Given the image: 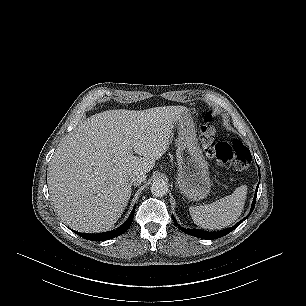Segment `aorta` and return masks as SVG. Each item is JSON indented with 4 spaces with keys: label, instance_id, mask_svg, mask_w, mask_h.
Here are the masks:
<instances>
[{
    "label": "aorta",
    "instance_id": "obj_1",
    "mask_svg": "<svg viewBox=\"0 0 306 306\" xmlns=\"http://www.w3.org/2000/svg\"><path fill=\"white\" fill-rule=\"evenodd\" d=\"M151 192L156 197H162L166 195L168 191V185L164 180H155L151 184Z\"/></svg>",
    "mask_w": 306,
    "mask_h": 306
}]
</instances>
